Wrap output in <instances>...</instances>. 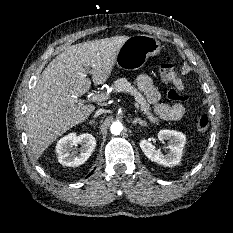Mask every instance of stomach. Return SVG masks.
<instances>
[{"label": "stomach", "mask_w": 233, "mask_h": 233, "mask_svg": "<svg viewBox=\"0 0 233 233\" xmlns=\"http://www.w3.org/2000/svg\"><path fill=\"white\" fill-rule=\"evenodd\" d=\"M160 42L153 36L137 34L130 36L117 53L118 68L131 70L139 68L150 57L159 54Z\"/></svg>", "instance_id": "0dacf381"}]
</instances>
